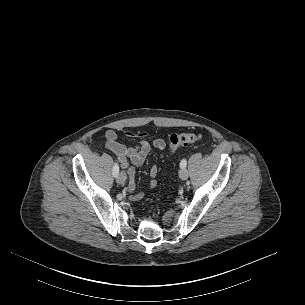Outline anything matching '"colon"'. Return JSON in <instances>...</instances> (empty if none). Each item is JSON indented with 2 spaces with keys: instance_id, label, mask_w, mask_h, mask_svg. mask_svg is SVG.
Listing matches in <instances>:
<instances>
[{
  "instance_id": "1",
  "label": "colon",
  "mask_w": 305,
  "mask_h": 305,
  "mask_svg": "<svg viewBox=\"0 0 305 305\" xmlns=\"http://www.w3.org/2000/svg\"><path fill=\"white\" fill-rule=\"evenodd\" d=\"M201 139H202V135L196 133L172 134L169 138L170 149L171 151H175L179 147L187 146L189 144L199 142Z\"/></svg>"
}]
</instances>
